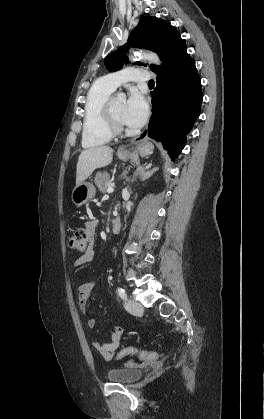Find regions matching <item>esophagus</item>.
<instances>
[{
  "mask_svg": "<svg viewBox=\"0 0 264 419\" xmlns=\"http://www.w3.org/2000/svg\"><path fill=\"white\" fill-rule=\"evenodd\" d=\"M146 138H147V130H146V129H144V130L142 131V133H141V134H140V135H139L136 139H134V140L131 142V144L126 145V146H121V147L118 149V152H119V153H122V154H127V153L129 152V150L133 147V145L138 144L139 142L144 141Z\"/></svg>",
  "mask_w": 264,
  "mask_h": 419,
  "instance_id": "obj_1",
  "label": "esophagus"
}]
</instances>
